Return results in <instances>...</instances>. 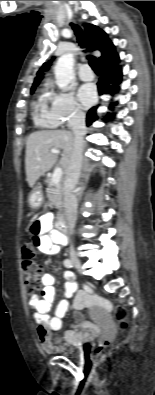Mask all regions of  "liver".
<instances>
[{"mask_svg":"<svg viewBox=\"0 0 155 395\" xmlns=\"http://www.w3.org/2000/svg\"><path fill=\"white\" fill-rule=\"evenodd\" d=\"M53 148L62 150L60 165L65 171L74 148V135L71 131H37L27 138L25 169L30 187L57 162V154L50 152Z\"/></svg>","mask_w":155,"mask_h":395,"instance_id":"liver-1","label":"liver"}]
</instances>
